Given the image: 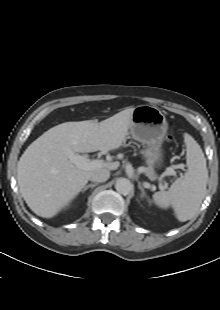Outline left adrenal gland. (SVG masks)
Listing matches in <instances>:
<instances>
[{
    "mask_svg": "<svg viewBox=\"0 0 220 310\" xmlns=\"http://www.w3.org/2000/svg\"><path fill=\"white\" fill-rule=\"evenodd\" d=\"M138 188H139V189L141 190V192H142L141 198L146 197V193H145L143 187L141 186V183H140V182H138Z\"/></svg>",
    "mask_w": 220,
    "mask_h": 310,
    "instance_id": "a2214340",
    "label": "left adrenal gland"
}]
</instances>
